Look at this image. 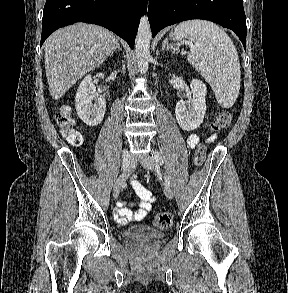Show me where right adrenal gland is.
<instances>
[{
	"instance_id": "2a0ac1e0",
	"label": "right adrenal gland",
	"mask_w": 288,
	"mask_h": 293,
	"mask_svg": "<svg viewBox=\"0 0 288 293\" xmlns=\"http://www.w3.org/2000/svg\"><path fill=\"white\" fill-rule=\"evenodd\" d=\"M116 49H118L119 51L122 50L118 41H117V43H116V48H115V50H116Z\"/></svg>"
}]
</instances>
